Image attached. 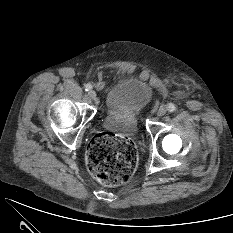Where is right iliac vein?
Instances as JSON below:
<instances>
[{
    "label": "right iliac vein",
    "mask_w": 233,
    "mask_h": 233,
    "mask_svg": "<svg viewBox=\"0 0 233 233\" xmlns=\"http://www.w3.org/2000/svg\"><path fill=\"white\" fill-rule=\"evenodd\" d=\"M88 95H89V97H90L91 99H95L96 96H97V94H96V92H95L94 90H90V91L88 92Z\"/></svg>",
    "instance_id": "63e3f726"
}]
</instances>
